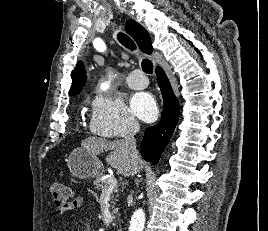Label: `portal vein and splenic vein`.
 <instances>
[{
	"instance_id": "obj_1",
	"label": "portal vein and splenic vein",
	"mask_w": 268,
	"mask_h": 231,
	"mask_svg": "<svg viewBox=\"0 0 268 231\" xmlns=\"http://www.w3.org/2000/svg\"><path fill=\"white\" fill-rule=\"evenodd\" d=\"M117 186V179L113 176H110L107 179V186L105 188V192L112 191Z\"/></svg>"
}]
</instances>
